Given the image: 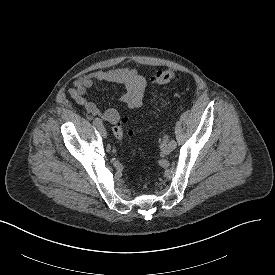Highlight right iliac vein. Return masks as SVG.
<instances>
[{
    "label": "right iliac vein",
    "instance_id": "1",
    "mask_svg": "<svg viewBox=\"0 0 275 275\" xmlns=\"http://www.w3.org/2000/svg\"><path fill=\"white\" fill-rule=\"evenodd\" d=\"M98 130H99V132H100V134H101L102 137L105 138L107 136L106 129H105V127L102 124H100L98 126Z\"/></svg>",
    "mask_w": 275,
    "mask_h": 275
}]
</instances>
